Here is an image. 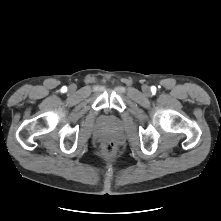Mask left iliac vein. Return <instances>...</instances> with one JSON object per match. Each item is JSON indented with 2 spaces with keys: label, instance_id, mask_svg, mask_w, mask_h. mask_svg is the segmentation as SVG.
Segmentation results:
<instances>
[{
  "label": "left iliac vein",
  "instance_id": "left-iliac-vein-1",
  "mask_svg": "<svg viewBox=\"0 0 221 221\" xmlns=\"http://www.w3.org/2000/svg\"><path fill=\"white\" fill-rule=\"evenodd\" d=\"M143 91H144V93H145L146 95H149V94H150V90H149V87H148V86H145V87L143 88Z\"/></svg>",
  "mask_w": 221,
  "mask_h": 221
}]
</instances>
